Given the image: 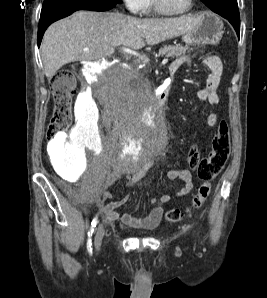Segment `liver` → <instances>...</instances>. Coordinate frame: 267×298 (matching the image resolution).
Segmentation results:
<instances>
[{
    "label": "liver",
    "mask_w": 267,
    "mask_h": 298,
    "mask_svg": "<svg viewBox=\"0 0 267 298\" xmlns=\"http://www.w3.org/2000/svg\"><path fill=\"white\" fill-rule=\"evenodd\" d=\"M199 22V16L138 19L118 12L77 11L46 30L41 45L44 73L53 77L67 63L110 56L117 46L155 45L193 31Z\"/></svg>",
    "instance_id": "6515ba94"
}]
</instances>
